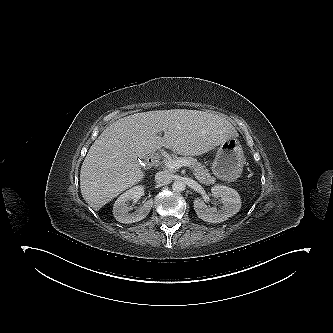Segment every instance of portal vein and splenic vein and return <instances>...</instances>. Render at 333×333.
I'll list each match as a JSON object with an SVG mask.
<instances>
[{
	"mask_svg": "<svg viewBox=\"0 0 333 333\" xmlns=\"http://www.w3.org/2000/svg\"><path fill=\"white\" fill-rule=\"evenodd\" d=\"M165 166L170 170L179 169L182 166H186L192 169L190 163L185 160H170L165 163Z\"/></svg>",
	"mask_w": 333,
	"mask_h": 333,
	"instance_id": "portal-vein-and-splenic-vein-1",
	"label": "portal vein and splenic vein"
}]
</instances>
